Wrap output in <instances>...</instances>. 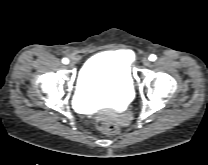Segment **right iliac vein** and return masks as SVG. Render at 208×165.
<instances>
[{"instance_id":"obj_1","label":"right iliac vein","mask_w":208,"mask_h":165,"mask_svg":"<svg viewBox=\"0 0 208 165\" xmlns=\"http://www.w3.org/2000/svg\"><path fill=\"white\" fill-rule=\"evenodd\" d=\"M68 66H69L70 68H73V67H74V63H73V62H69V63H68Z\"/></svg>"}]
</instances>
